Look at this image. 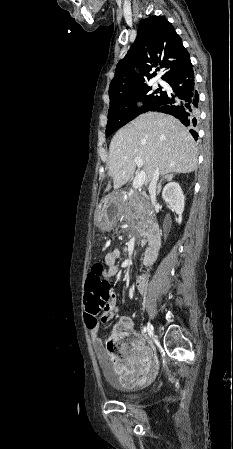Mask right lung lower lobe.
<instances>
[{
  "instance_id": "right-lung-lower-lobe-1",
  "label": "right lung lower lobe",
  "mask_w": 233,
  "mask_h": 449,
  "mask_svg": "<svg viewBox=\"0 0 233 449\" xmlns=\"http://www.w3.org/2000/svg\"><path fill=\"white\" fill-rule=\"evenodd\" d=\"M166 82L172 87L173 93L166 92L153 111L168 113L178 118L197 140L198 134L194 127L199 115V95L195 88L192 64L171 76Z\"/></svg>"
}]
</instances>
